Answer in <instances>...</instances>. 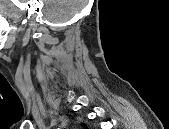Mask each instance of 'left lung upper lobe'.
<instances>
[{"mask_svg":"<svg viewBox=\"0 0 169 129\" xmlns=\"http://www.w3.org/2000/svg\"><path fill=\"white\" fill-rule=\"evenodd\" d=\"M82 126H83L84 128H86V125H85V124H82Z\"/></svg>","mask_w":169,"mask_h":129,"instance_id":"obj_1","label":"left lung upper lobe"}]
</instances>
